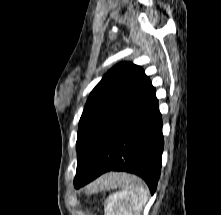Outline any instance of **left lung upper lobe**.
Instances as JSON below:
<instances>
[{
    "label": "left lung upper lobe",
    "instance_id": "obj_1",
    "mask_svg": "<svg viewBox=\"0 0 221 215\" xmlns=\"http://www.w3.org/2000/svg\"><path fill=\"white\" fill-rule=\"evenodd\" d=\"M149 81L140 66L122 62L109 70L95 86L79 121L74 181L84 178L115 119L141 94Z\"/></svg>",
    "mask_w": 221,
    "mask_h": 215
}]
</instances>
